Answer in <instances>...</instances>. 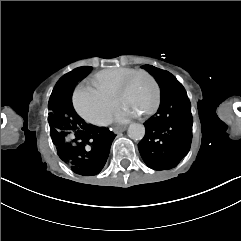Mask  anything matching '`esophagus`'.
Masks as SVG:
<instances>
[{
    "mask_svg": "<svg viewBox=\"0 0 241 241\" xmlns=\"http://www.w3.org/2000/svg\"><path fill=\"white\" fill-rule=\"evenodd\" d=\"M126 130V127H115L114 129H113V132L115 133V134H119V133H121V132H123V131H125Z\"/></svg>",
    "mask_w": 241,
    "mask_h": 241,
    "instance_id": "obj_1",
    "label": "esophagus"
}]
</instances>
